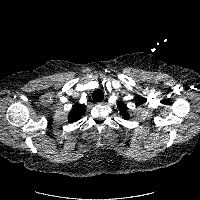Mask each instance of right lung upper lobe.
Returning <instances> with one entry per match:
<instances>
[{"mask_svg":"<svg viewBox=\"0 0 200 200\" xmlns=\"http://www.w3.org/2000/svg\"><path fill=\"white\" fill-rule=\"evenodd\" d=\"M86 108L80 104H76L73 109L71 110L68 121L70 123L76 122L80 116L85 112Z\"/></svg>","mask_w":200,"mask_h":200,"instance_id":"right-lung-upper-lobe-1","label":"right lung upper lobe"}]
</instances>
